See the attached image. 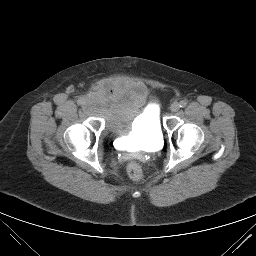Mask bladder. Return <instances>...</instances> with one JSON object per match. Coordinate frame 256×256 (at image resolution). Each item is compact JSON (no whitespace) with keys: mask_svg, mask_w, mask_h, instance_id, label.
I'll return each instance as SVG.
<instances>
[{"mask_svg":"<svg viewBox=\"0 0 256 256\" xmlns=\"http://www.w3.org/2000/svg\"><path fill=\"white\" fill-rule=\"evenodd\" d=\"M107 84L88 97L91 108L101 114L105 130L124 137L129 145L153 148L163 141V128L157 103L139 83H119L109 91Z\"/></svg>","mask_w":256,"mask_h":256,"instance_id":"bladder-1","label":"bladder"}]
</instances>
